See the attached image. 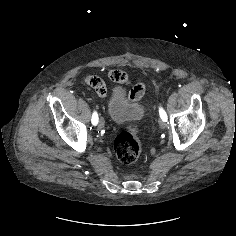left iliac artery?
<instances>
[{"label": "left iliac artery", "instance_id": "left-iliac-artery-1", "mask_svg": "<svg viewBox=\"0 0 236 236\" xmlns=\"http://www.w3.org/2000/svg\"><path fill=\"white\" fill-rule=\"evenodd\" d=\"M159 115L162 120L167 121V119H168L167 114H166L165 110L161 107L159 108Z\"/></svg>", "mask_w": 236, "mask_h": 236}]
</instances>
